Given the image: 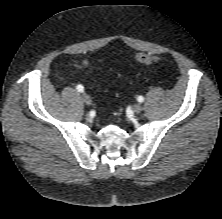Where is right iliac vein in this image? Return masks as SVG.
Returning <instances> with one entry per match:
<instances>
[{"mask_svg":"<svg viewBox=\"0 0 222 219\" xmlns=\"http://www.w3.org/2000/svg\"><path fill=\"white\" fill-rule=\"evenodd\" d=\"M82 100L86 105H90L92 103L91 97L86 93L82 94Z\"/></svg>","mask_w":222,"mask_h":219,"instance_id":"obj_1","label":"right iliac vein"}]
</instances>
